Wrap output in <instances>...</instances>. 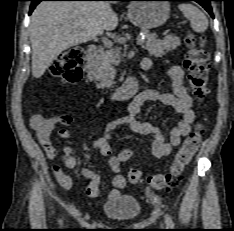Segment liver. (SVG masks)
I'll use <instances>...</instances> for the list:
<instances>
[{
	"label": "liver",
	"instance_id": "1",
	"mask_svg": "<svg viewBox=\"0 0 234 231\" xmlns=\"http://www.w3.org/2000/svg\"><path fill=\"white\" fill-rule=\"evenodd\" d=\"M117 25V14L109 2H41L32 13L29 26L32 75L40 78L63 51L96 39Z\"/></svg>",
	"mask_w": 234,
	"mask_h": 231
}]
</instances>
